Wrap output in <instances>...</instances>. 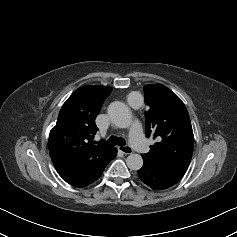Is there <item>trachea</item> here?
<instances>
[{
	"mask_svg": "<svg viewBox=\"0 0 237 237\" xmlns=\"http://www.w3.org/2000/svg\"><path fill=\"white\" fill-rule=\"evenodd\" d=\"M107 143L109 145H118V146H124L126 144L125 139H123L122 137H116V136H111Z\"/></svg>",
	"mask_w": 237,
	"mask_h": 237,
	"instance_id": "3493384b",
	"label": "trachea"
}]
</instances>
